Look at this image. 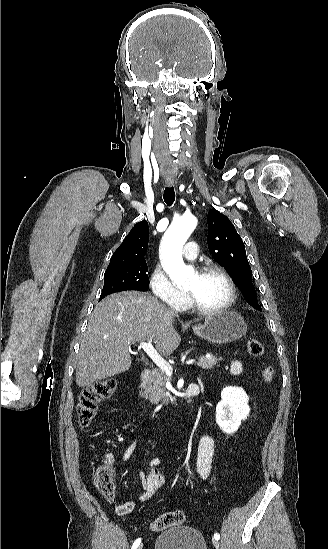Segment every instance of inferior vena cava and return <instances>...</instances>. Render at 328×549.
<instances>
[{
  "label": "inferior vena cava",
  "instance_id": "inferior-vena-cava-1",
  "mask_svg": "<svg viewBox=\"0 0 328 549\" xmlns=\"http://www.w3.org/2000/svg\"><path fill=\"white\" fill-rule=\"evenodd\" d=\"M171 309H172L171 313H176L174 307H171Z\"/></svg>",
  "mask_w": 328,
  "mask_h": 549
}]
</instances>
